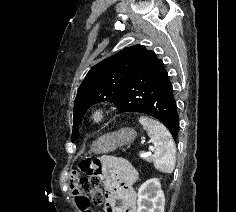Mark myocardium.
Wrapping results in <instances>:
<instances>
[{
    "mask_svg": "<svg viewBox=\"0 0 236 212\" xmlns=\"http://www.w3.org/2000/svg\"><path fill=\"white\" fill-rule=\"evenodd\" d=\"M107 112L103 107H95L87 115V123L92 126L100 125L106 118Z\"/></svg>",
    "mask_w": 236,
    "mask_h": 212,
    "instance_id": "obj_1",
    "label": "myocardium"
}]
</instances>
